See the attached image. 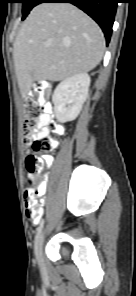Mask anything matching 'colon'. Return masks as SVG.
Here are the masks:
<instances>
[{
  "label": "colon",
  "mask_w": 136,
  "mask_h": 296,
  "mask_svg": "<svg viewBox=\"0 0 136 296\" xmlns=\"http://www.w3.org/2000/svg\"><path fill=\"white\" fill-rule=\"evenodd\" d=\"M43 113V108L33 100H30L24 106L23 137L25 145L30 148L25 157L28 187L24 193V204L26 216L32 221L40 219V208L37 207L40 187L37 181L44 169L45 160L43 159V155L50 152L55 145L52 137L53 134L62 132L61 126L49 122L45 126L51 132V136H35L34 132L43 124L41 120Z\"/></svg>",
  "instance_id": "obj_1"
}]
</instances>
